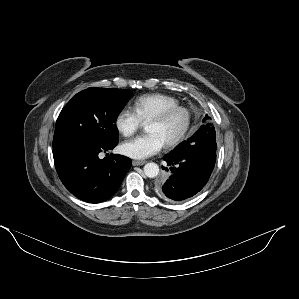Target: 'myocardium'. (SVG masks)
I'll return each mask as SVG.
<instances>
[{
    "instance_id": "myocardium-1",
    "label": "myocardium",
    "mask_w": 299,
    "mask_h": 299,
    "mask_svg": "<svg viewBox=\"0 0 299 299\" xmlns=\"http://www.w3.org/2000/svg\"><path fill=\"white\" fill-rule=\"evenodd\" d=\"M177 113H182L185 117V120H184V124H183L182 128L179 130V132L173 138H171L165 142V144L169 147L179 144L182 140H184V138L188 134V132L191 128V125H192V120H193V114H192V111L190 110V108H188L187 106H183V105L169 107V108L164 109L163 111L159 112L158 114H156L149 120V122L153 121V122L162 123V122L167 121L170 117H172L173 115H175Z\"/></svg>"
}]
</instances>
